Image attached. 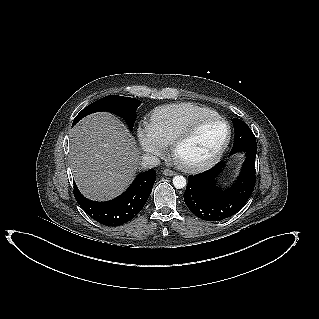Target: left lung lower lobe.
<instances>
[{"instance_id": "1", "label": "left lung lower lobe", "mask_w": 319, "mask_h": 319, "mask_svg": "<svg viewBox=\"0 0 319 319\" xmlns=\"http://www.w3.org/2000/svg\"><path fill=\"white\" fill-rule=\"evenodd\" d=\"M234 128L236 119L232 120ZM246 153L240 175L235 183L227 189L219 188L216 178L226 166L220 161L211 169L188 176L184 201L189 210L198 218L206 221H220L238 212L248 201L255 186L256 150H243ZM242 151L231 150L230 155Z\"/></svg>"}]
</instances>
